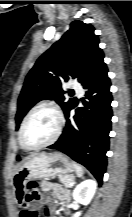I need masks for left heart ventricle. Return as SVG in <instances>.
Listing matches in <instances>:
<instances>
[{
    "label": "left heart ventricle",
    "mask_w": 132,
    "mask_h": 217,
    "mask_svg": "<svg viewBox=\"0 0 132 217\" xmlns=\"http://www.w3.org/2000/svg\"><path fill=\"white\" fill-rule=\"evenodd\" d=\"M56 128V114L50 108H41L27 123L24 141L28 146L41 145L53 137Z\"/></svg>",
    "instance_id": "left-heart-ventricle-1"
}]
</instances>
